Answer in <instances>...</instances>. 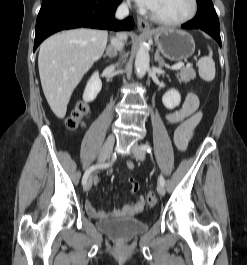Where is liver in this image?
Masks as SVG:
<instances>
[{
    "label": "liver",
    "instance_id": "1",
    "mask_svg": "<svg viewBox=\"0 0 247 265\" xmlns=\"http://www.w3.org/2000/svg\"><path fill=\"white\" fill-rule=\"evenodd\" d=\"M107 37V31L82 28L55 34L41 44L38 56L41 85L58 118L65 117L74 89L101 58Z\"/></svg>",
    "mask_w": 247,
    "mask_h": 265
}]
</instances>
